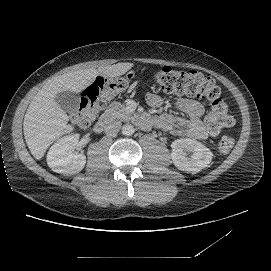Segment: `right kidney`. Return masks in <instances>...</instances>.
<instances>
[{
    "mask_svg": "<svg viewBox=\"0 0 271 271\" xmlns=\"http://www.w3.org/2000/svg\"><path fill=\"white\" fill-rule=\"evenodd\" d=\"M81 134L73 132L55 141L47 152V164L52 170L63 175H73L85 165L86 157L75 152Z\"/></svg>",
    "mask_w": 271,
    "mask_h": 271,
    "instance_id": "obj_1",
    "label": "right kidney"
}]
</instances>
